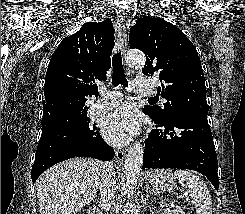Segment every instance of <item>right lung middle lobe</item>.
<instances>
[{
  "mask_svg": "<svg viewBox=\"0 0 245 214\" xmlns=\"http://www.w3.org/2000/svg\"><path fill=\"white\" fill-rule=\"evenodd\" d=\"M90 128V119L87 117V111H85L59 127L49 128L47 131L43 130L41 138H55L60 134L75 133L78 134L82 143H87L90 141Z\"/></svg>",
  "mask_w": 245,
  "mask_h": 214,
  "instance_id": "obj_1",
  "label": "right lung middle lobe"
}]
</instances>
